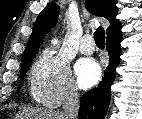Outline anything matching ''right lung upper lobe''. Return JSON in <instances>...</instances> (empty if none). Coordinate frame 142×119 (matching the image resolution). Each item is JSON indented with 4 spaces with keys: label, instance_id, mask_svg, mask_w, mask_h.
<instances>
[{
    "label": "right lung upper lobe",
    "instance_id": "right-lung-upper-lobe-1",
    "mask_svg": "<svg viewBox=\"0 0 142 119\" xmlns=\"http://www.w3.org/2000/svg\"><path fill=\"white\" fill-rule=\"evenodd\" d=\"M117 0H86V8L94 15L104 17L110 22L107 29V38L121 34V23L116 19L118 8ZM59 7L50 4L38 15L33 32L23 54L22 65L32 60L37 53L43 37L54 27L57 22Z\"/></svg>",
    "mask_w": 142,
    "mask_h": 119
}]
</instances>
